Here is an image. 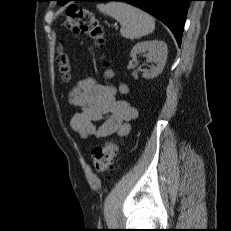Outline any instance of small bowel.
Listing matches in <instances>:
<instances>
[{
  "mask_svg": "<svg viewBox=\"0 0 231 231\" xmlns=\"http://www.w3.org/2000/svg\"><path fill=\"white\" fill-rule=\"evenodd\" d=\"M105 76L112 77V72ZM118 92L125 94L128 87L124 84L115 87L93 78L79 81L69 94L70 103L80 108L71 120V128L83 139H104L112 134L126 136L138 111L128 102L117 99Z\"/></svg>",
  "mask_w": 231,
  "mask_h": 231,
  "instance_id": "1",
  "label": "small bowel"
}]
</instances>
